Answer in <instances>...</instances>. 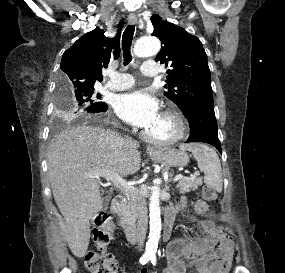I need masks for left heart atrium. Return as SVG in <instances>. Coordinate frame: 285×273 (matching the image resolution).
I'll return each mask as SVG.
<instances>
[{
    "instance_id": "39dd6f15",
    "label": "left heart atrium",
    "mask_w": 285,
    "mask_h": 273,
    "mask_svg": "<svg viewBox=\"0 0 285 273\" xmlns=\"http://www.w3.org/2000/svg\"><path fill=\"white\" fill-rule=\"evenodd\" d=\"M114 109L121 119L145 130L160 117L157 100L142 90L118 96Z\"/></svg>"
}]
</instances>
